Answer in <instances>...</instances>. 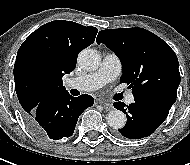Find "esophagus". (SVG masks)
Segmentation results:
<instances>
[{
    "label": "esophagus",
    "instance_id": "esophagus-1",
    "mask_svg": "<svg viewBox=\"0 0 190 165\" xmlns=\"http://www.w3.org/2000/svg\"><path fill=\"white\" fill-rule=\"evenodd\" d=\"M99 104H101V105L103 106V108H104L106 111H110V110L113 109L112 104H110V103H108V102L99 100Z\"/></svg>",
    "mask_w": 190,
    "mask_h": 165
}]
</instances>
